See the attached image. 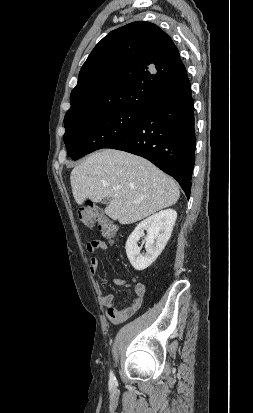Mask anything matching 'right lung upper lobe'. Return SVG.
Returning <instances> with one entry per match:
<instances>
[{"instance_id":"obj_1","label":"right lung upper lobe","mask_w":253,"mask_h":413,"mask_svg":"<svg viewBox=\"0 0 253 413\" xmlns=\"http://www.w3.org/2000/svg\"><path fill=\"white\" fill-rule=\"evenodd\" d=\"M189 86L169 35L150 22H133L110 32L90 53L71 92L64 125L109 110L144 111Z\"/></svg>"}]
</instances>
